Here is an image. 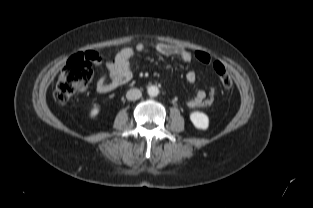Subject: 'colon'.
Instances as JSON below:
<instances>
[{
    "label": "colon",
    "instance_id": "obj_1",
    "mask_svg": "<svg viewBox=\"0 0 313 208\" xmlns=\"http://www.w3.org/2000/svg\"><path fill=\"white\" fill-rule=\"evenodd\" d=\"M97 58L95 52L88 51L84 53H77L71 56L61 70L54 89V100L58 106H65L71 97L77 92L83 90L91 81L93 76L92 64ZM192 60L202 64H208L211 57L208 53L203 51L192 52ZM213 69L222 86L229 89L232 86V78L227 72L225 66L215 61ZM215 89H209L208 96L203 102V106H209L214 102Z\"/></svg>",
    "mask_w": 313,
    "mask_h": 208
}]
</instances>
